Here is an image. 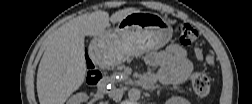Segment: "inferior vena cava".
Returning a JSON list of instances; mask_svg holds the SVG:
<instances>
[{"label": "inferior vena cava", "instance_id": "1", "mask_svg": "<svg viewBox=\"0 0 252 104\" xmlns=\"http://www.w3.org/2000/svg\"><path fill=\"white\" fill-rule=\"evenodd\" d=\"M109 95L114 101L118 102L123 96V91L121 89H114L110 91Z\"/></svg>", "mask_w": 252, "mask_h": 104}]
</instances>
